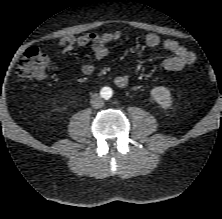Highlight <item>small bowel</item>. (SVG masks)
<instances>
[{"label": "small bowel", "instance_id": "obj_1", "mask_svg": "<svg viewBox=\"0 0 222 219\" xmlns=\"http://www.w3.org/2000/svg\"><path fill=\"white\" fill-rule=\"evenodd\" d=\"M122 34L120 31L96 32L91 31L81 36L68 35L59 42L60 47L69 52L75 47L90 46L96 60H102L108 55V44L120 40ZM145 43L152 49H163L171 55L164 59L163 67L169 71H180L192 66L196 60L195 54L185 46L173 39L162 41L155 33H149L145 36ZM95 71V65L92 62L85 63L82 66L84 75H91ZM130 81L129 74H121L115 77L114 83L118 87H126Z\"/></svg>", "mask_w": 222, "mask_h": 219}]
</instances>
